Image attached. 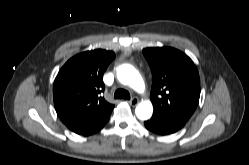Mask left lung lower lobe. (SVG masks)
Instances as JSON below:
<instances>
[{"label":"left lung lower lobe","mask_w":249,"mask_h":165,"mask_svg":"<svg viewBox=\"0 0 249 165\" xmlns=\"http://www.w3.org/2000/svg\"><path fill=\"white\" fill-rule=\"evenodd\" d=\"M186 124L180 119L154 114L150 120L145 121V127L159 135H168L180 130Z\"/></svg>","instance_id":"1"}]
</instances>
